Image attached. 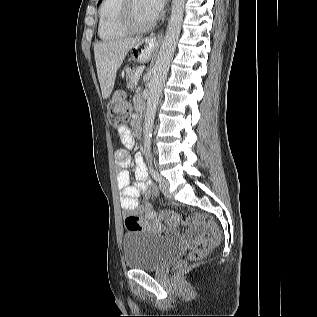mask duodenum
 Here are the masks:
<instances>
[{
	"instance_id": "obj_1",
	"label": "duodenum",
	"mask_w": 317,
	"mask_h": 317,
	"mask_svg": "<svg viewBox=\"0 0 317 317\" xmlns=\"http://www.w3.org/2000/svg\"><path fill=\"white\" fill-rule=\"evenodd\" d=\"M135 131H136L137 137H141L142 136L143 128H142V125L139 122H136V124H135Z\"/></svg>"
}]
</instances>
